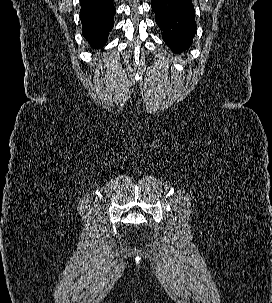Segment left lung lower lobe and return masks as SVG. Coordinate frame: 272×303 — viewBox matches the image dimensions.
<instances>
[{
    "label": "left lung lower lobe",
    "mask_w": 272,
    "mask_h": 303,
    "mask_svg": "<svg viewBox=\"0 0 272 303\" xmlns=\"http://www.w3.org/2000/svg\"><path fill=\"white\" fill-rule=\"evenodd\" d=\"M155 21L174 53L188 49L196 33L192 0H152Z\"/></svg>",
    "instance_id": "1"
}]
</instances>
